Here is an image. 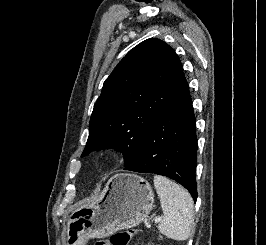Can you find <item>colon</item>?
I'll use <instances>...</instances> for the list:
<instances>
[{
	"mask_svg": "<svg viewBox=\"0 0 266 245\" xmlns=\"http://www.w3.org/2000/svg\"><path fill=\"white\" fill-rule=\"evenodd\" d=\"M135 234L133 229H125L115 232L110 238V245H129L130 240ZM95 245H106L104 240H98Z\"/></svg>",
	"mask_w": 266,
	"mask_h": 245,
	"instance_id": "5ec220e1",
	"label": "colon"
}]
</instances>
